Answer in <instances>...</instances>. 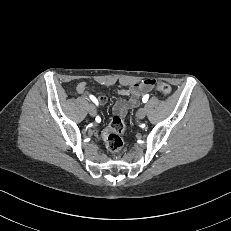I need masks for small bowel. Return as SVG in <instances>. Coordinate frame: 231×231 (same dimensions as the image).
Instances as JSON below:
<instances>
[{
    "label": "small bowel",
    "instance_id": "1",
    "mask_svg": "<svg viewBox=\"0 0 231 231\" xmlns=\"http://www.w3.org/2000/svg\"><path fill=\"white\" fill-rule=\"evenodd\" d=\"M153 86V80H144L140 83H136L132 85L128 89H118L117 94L124 98L120 99L116 102L113 108V112L116 115L123 116L125 115L130 109L135 108L139 104L140 97L151 89ZM76 93L81 95L89 94V89L86 82L81 81L77 84L75 88ZM91 96V95H90ZM97 102L100 105H104L107 102V98L105 96H98ZM95 133H97L95 131Z\"/></svg>",
    "mask_w": 231,
    "mask_h": 231
}]
</instances>
